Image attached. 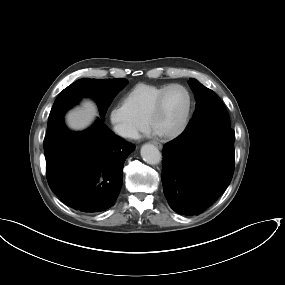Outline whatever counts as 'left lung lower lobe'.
<instances>
[{"label":"left lung lower lobe","instance_id":"obj_1","mask_svg":"<svg viewBox=\"0 0 285 285\" xmlns=\"http://www.w3.org/2000/svg\"><path fill=\"white\" fill-rule=\"evenodd\" d=\"M234 140L230 126L205 123L165 144L162 184L175 212L199 215L223 193L234 172Z\"/></svg>","mask_w":285,"mask_h":285}]
</instances>
